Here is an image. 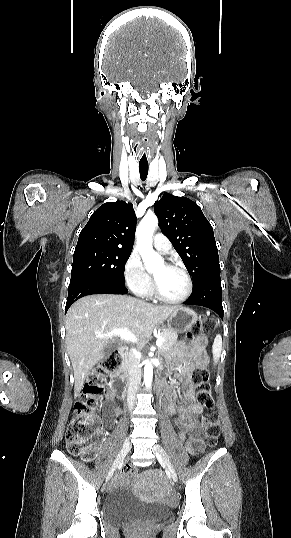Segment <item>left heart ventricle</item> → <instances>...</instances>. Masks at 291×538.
<instances>
[{"instance_id":"left-heart-ventricle-1","label":"left heart ventricle","mask_w":291,"mask_h":538,"mask_svg":"<svg viewBox=\"0 0 291 538\" xmlns=\"http://www.w3.org/2000/svg\"><path fill=\"white\" fill-rule=\"evenodd\" d=\"M152 275L164 296L178 298L185 293L186 279L179 270L168 268L161 263L152 271Z\"/></svg>"}]
</instances>
